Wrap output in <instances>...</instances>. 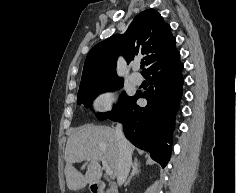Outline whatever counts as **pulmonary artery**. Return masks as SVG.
<instances>
[{"label": "pulmonary artery", "mask_w": 237, "mask_h": 193, "mask_svg": "<svg viewBox=\"0 0 237 193\" xmlns=\"http://www.w3.org/2000/svg\"><path fill=\"white\" fill-rule=\"evenodd\" d=\"M137 69H138L137 65L133 66V70H137ZM129 79L134 85H140L143 81V77L140 74L136 73V72H133L129 76Z\"/></svg>", "instance_id": "1"}]
</instances>
